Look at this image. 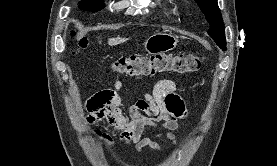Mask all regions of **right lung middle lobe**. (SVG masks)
I'll return each mask as SVG.
<instances>
[{"label":"right lung middle lobe","instance_id":"right-lung-middle-lobe-1","mask_svg":"<svg viewBox=\"0 0 277 166\" xmlns=\"http://www.w3.org/2000/svg\"><path fill=\"white\" fill-rule=\"evenodd\" d=\"M79 4L80 9L92 12H96L104 8V4L100 0H83Z\"/></svg>","mask_w":277,"mask_h":166}]
</instances>
